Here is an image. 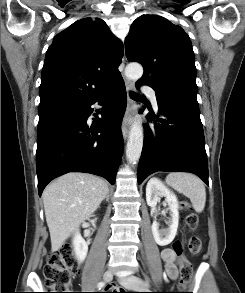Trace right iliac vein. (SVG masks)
<instances>
[{
  "label": "right iliac vein",
  "mask_w": 245,
  "mask_h": 293,
  "mask_svg": "<svg viewBox=\"0 0 245 293\" xmlns=\"http://www.w3.org/2000/svg\"><path fill=\"white\" fill-rule=\"evenodd\" d=\"M113 279V274L111 271H106L103 275V280L105 282H110Z\"/></svg>",
  "instance_id": "obj_1"
}]
</instances>
